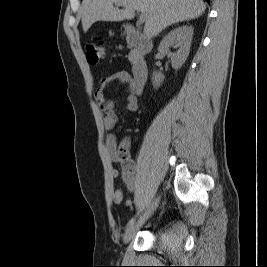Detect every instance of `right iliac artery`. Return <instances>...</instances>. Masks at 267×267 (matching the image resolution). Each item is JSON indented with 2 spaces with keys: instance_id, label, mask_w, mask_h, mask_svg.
<instances>
[{
  "instance_id": "right-iliac-artery-1",
  "label": "right iliac artery",
  "mask_w": 267,
  "mask_h": 267,
  "mask_svg": "<svg viewBox=\"0 0 267 267\" xmlns=\"http://www.w3.org/2000/svg\"><path fill=\"white\" fill-rule=\"evenodd\" d=\"M135 220H136V217H133L131 220H129V222L127 223L126 228H129L130 226H132L134 224Z\"/></svg>"
}]
</instances>
